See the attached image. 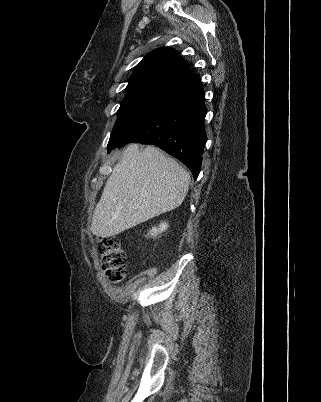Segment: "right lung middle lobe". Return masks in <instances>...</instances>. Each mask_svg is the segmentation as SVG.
Listing matches in <instances>:
<instances>
[{
  "instance_id": "dd1d6c3e",
  "label": "right lung middle lobe",
  "mask_w": 321,
  "mask_h": 402,
  "mask_svg": "<svg viewBox=\"0 0 321 402\" xmlns=\"http://www.w3.org/2000/svg\"><path fill=\"white\" fill-rule=\"evenodd\" d=\"M172 88V86L165 84L151 83L127 89L126 95L117 111L118 118L111 132L110 140L159 104L168 96Z\"/></svg>"
}]
</instances>
